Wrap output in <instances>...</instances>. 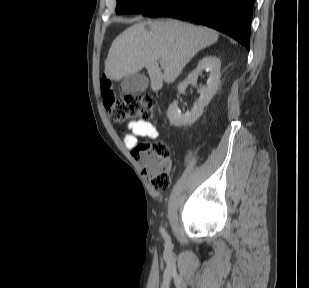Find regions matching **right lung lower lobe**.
I'll return each mask as SVG.
<instances>
[{"instance_id": "obj_1", "label": "right lung lower lobe", "mask_w": 309, "mask_h": 288, "mask_svg": "<svg viewBox=\"0 0 309 288\" xmlns=\"http://www.w3.org/2000/svg\"><path fill=\"white\" fill-rule=\"evenodd\" d=\"M255 0H162L141 13L148 17H174L219 30L249 50Z\"/></svg>"}]
</instances>
